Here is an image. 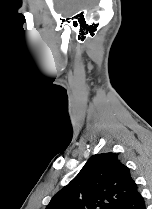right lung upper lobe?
<instances>
[{
	"mask_svg": "<svg viewBox=\"0 0 152 209\" xmlns=\"http://www.w3.org/2000/svg\"><path fill=\"white\" fill-rule=\"evenodd\" d=\"M136 190L130 169L116 153L96 154L51 199L46 209H117Z\"/></svg>",
	"mask_w": 152,
	"mask_h": 209,
	"instance_id": "cb5924a9",
	"label": "right lung upper lobe"
}]
</instances>
